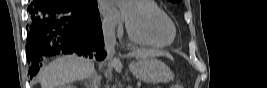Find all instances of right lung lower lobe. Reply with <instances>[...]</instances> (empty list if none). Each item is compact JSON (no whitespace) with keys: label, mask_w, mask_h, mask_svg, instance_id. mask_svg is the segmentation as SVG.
I'll use <instances>...</instances> for the list:
<instances>
[{"label":"right lung lower lobe","mask_w":267,"mask_h":88,"mask_svg":"<svg viewBox=\"0 0 267 88\" xmlns=\"http://www.w3.org/2000/svg\"><path fill=\"white\" fill-rule=\"evenodd\" d=\"M29 12L26 56L31 76L44 58L60 53L105 57L98 9L78 8L70 0H33Z\"/></svg>","instance_id":"obj_1"}]
</instances>
